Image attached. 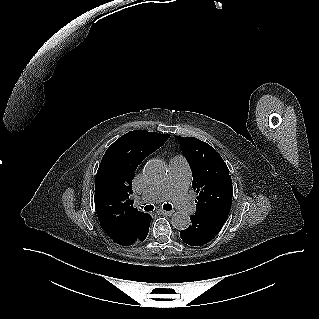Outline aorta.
<instances>
[{
  "label": "aorta",
  "mask_w": 319,
  "mask_h": 319,
  "mask_svg": "<svg viewBox=\"0 0 319 319\" xmlns=\"http://www.w3.org/2000/svg\"><path fill=\"white\" fill-rule=\"evenodd\" d=\"M144 175L148 180L158 182L167 175V166L162 160H149L144 167ZM190 222V217L185 212H176L171 218L172 226L178 230L187 229Z\"/></svg>",
  "instance_id": "aorta-1"
}]
</instances>
